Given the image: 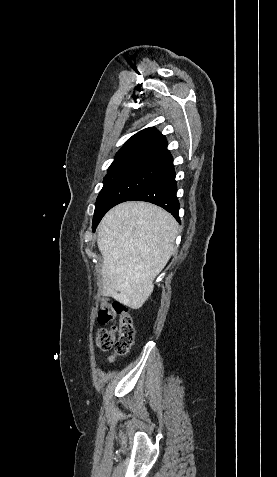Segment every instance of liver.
I'll return each instance as SVG.
<instances>
[{
	"label": "liver",
	"mask_w": 277,
	"mask_h": 477,
	"mask_svg": "<svg viewBox=\"0 0 277 477\" xmlns=\"http://www.w3.org/2000/svg\"><path fill=\"white\" fill-rule=\"evenodd\" d=\"M177 233L174 217L154 204L125 202L112 208L98 226L102 294L132 309L142 307L174 251Z\"/></svg>",
	"instance_id": "liver-1"
}]
</instances>
